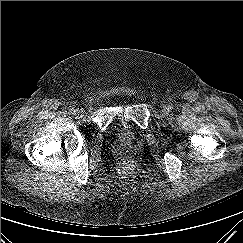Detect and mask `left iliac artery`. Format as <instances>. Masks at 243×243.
Segmentation results:
<instances>
[{"mask_svg": "<svg viewBox=\"0 0 243 243\" xmlns=\"http://www.w3.org/2000/svg\"><path fill=\"white\" fill-rule=\"evenodd\" d=\"M168 109H169V110H172V109H173V105H172V104H169V105H168Z\"/></svg>", "mask_w": 243, "mask_h": 243, "instance_id": "left-iliac-artery-1", "label": "left iliac artery"}]
</instances>
